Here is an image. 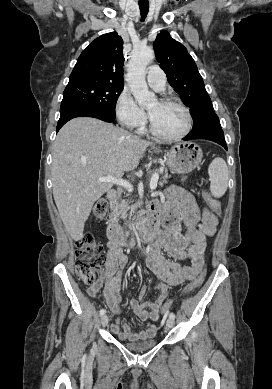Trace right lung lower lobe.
I'll return each instance as SVG.
<instances>
[{
	"mask_svg": "<svg viewBox=\"0 0 272 389\" xmlns=\"http://www.w3.org/2000/svg\"><path fill=\"white\" fill-rule=\"evenodd\" d=\"M82 116L98 118L106 122H113L116 117L90 105L65 104L60 107V119L56 131L58 132L59 129L72 118Z\"/></svg>",
	"mask_w": 272,
	"mask_h": 389,
	"instance_id": "right-lung-lower-lobe-1",
	"label": "right lung lower lobe"
}]
</instances>
